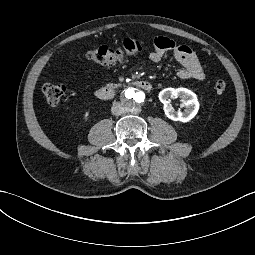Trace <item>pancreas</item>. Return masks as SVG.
I'll use <instances>...</instances> for the list:
<instances>
[{"instance_id": "cf45deb5", "label": "pancreas", "mask_w": 255, "mask_h": 255, "mask_svg": "<svg viewBox=\"0 0 255 255\" xmlns=\"http://www.w3.org/2000/svg\"><path fill=\"white\" fill-rule=\"evenodd\" d=\"M111 85L114 86L115 88L121 86V84H111Z\"/></svg>"}]
</instances>
